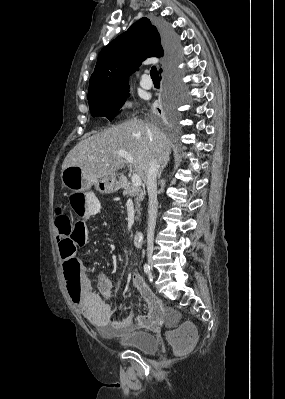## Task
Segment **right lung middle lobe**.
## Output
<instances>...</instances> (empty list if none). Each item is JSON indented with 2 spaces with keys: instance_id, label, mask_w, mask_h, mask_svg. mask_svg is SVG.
I'll return each mask as SVG.
<instances>
[{
  "instance_id": "right-lung-middle-lobe-1",
  "label": "right lung middle lobe",
  "mask_w": 285,
  "mask_h": 399,
  "mask_svg": "<svg viewBox=\"0 0 285 399\" xmlns=\"http://www.w3.org/2000/svg\"><path fill=\"white\" fill-rule=\"evenodd\" d=\"M180 85H177L175 96L178 95ZM128 96V90H124L114 94H104L97 96L89 101L90 113L93 117L104 116L110 121L116 116L119 108L125 102Z\"/></svg>"
}]
</instances>
